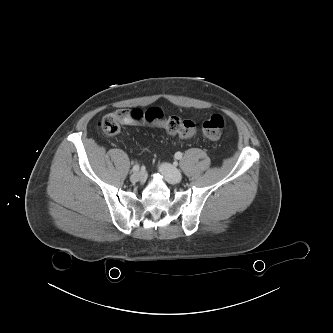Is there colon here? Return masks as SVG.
<instances>
[{
    "instance_id": "5ec220e1",
    "label": "colon",
    "mask_w": 333,
    "mask_h": 333,
    "mask_svg": "<svg viewBox=\"0 0 333 333\" xmlns=\"http://www.w3.org/2000/svg\"><path fill=\"white\" fill-rule=\"evenodd\" d=\"M131 114L128 110L122 109L105 115L99 123V127L107 135L117 134L123 124H128ZM143 121L149 125L161 126L168 133L179 135L182 138H191L196 133V125L191 120H182L176 116L167 119L158 117H144ZM225 127V120L221 115H212L202 124L203 134L211 139L220 138Z\"/></svg>"
}]
</instances>
